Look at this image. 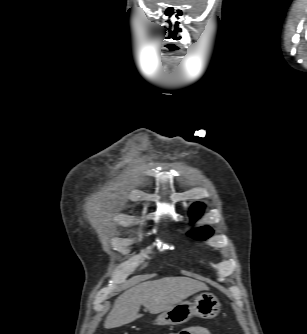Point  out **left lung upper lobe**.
Listing matches in <instances>:
<instances>
[{"instance_id":"5c2ea615","label":"left lung upper lobe","mask_w":307,"mask_h":334,"mask_svg":"<svg viewBox=\"0 0 307 334\" xmlns=\"http://www.w3.org/2000/svg\"><path fill=\"white\" fill-rule=\"evenodd\" d=\"M204 207L205 206L203 203H194L192 205L191 219L193 221L198 219L202 215ZM212 234L213 230L209 226H203L188 233V235L198 240H205Z\"/></svg>"}]
</instances>
